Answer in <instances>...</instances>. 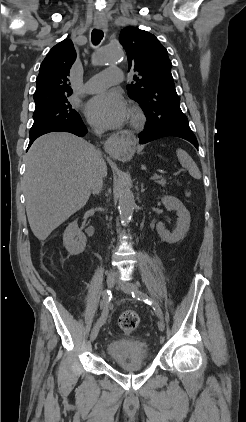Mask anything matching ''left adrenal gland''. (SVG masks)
<instances>
[{
    "mask_svg": "<svg viewBox=\"0 0 246 422\" xmlns=\"http://www.w3.org/2000/svg\"><path fill=\"white\" fill-rule=\"evenodd\" d=\"M145 191V189H144V185H143V183L141 184V192H144Z\"/></svg>",
    "mask_w": 246,
    "mask_h": 422,
    "instance_id": "obj_1",
    "label": "left adrenal gland"
}]
</instances>
